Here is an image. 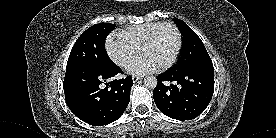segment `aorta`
<instances>
[{"instance_id":"1","label":"aorta","mask_w":276,"mask_h":138,"mask_svg":"<svg viewBox=\"0 0 276 138\" xmlns=\"http://www.w3.org/2000/svg\"><path fill=\"white\" fill-rule=\"evenodd\" d=\"M144 85L149 89H154L157 85V79L155 76H147L144 78Z\"/></svg>"}]
</instances>
